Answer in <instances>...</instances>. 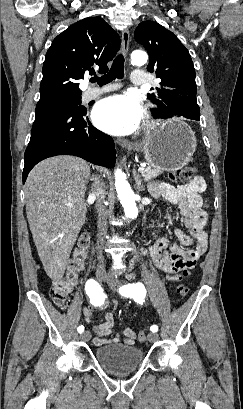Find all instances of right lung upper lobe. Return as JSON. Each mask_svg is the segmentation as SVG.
<instances>
[{
    "label": "right lung upper lobe",
    "instance_id": "obj_1",
    "mask_svg": "<svg viewBox=\"0 0 243 409\" xmlns=\"http://www.w3.org/2000/svg\"><path fill=\"white\" fill-rule=\"evenodd\" d=\"M119 48L118 34L102 18L89 17L72 24L46 53L39 102L81 95L79 80L94 72L93 66L106 72Z\"/></svg>",
    "mask_w": 243,
    "mask_h": 409
}]
</instances>
